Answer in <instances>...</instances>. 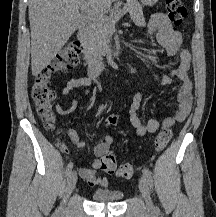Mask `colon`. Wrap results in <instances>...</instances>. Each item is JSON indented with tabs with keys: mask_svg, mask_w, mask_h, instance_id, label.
<instances>
[{
	"mask_svg": "<svg viewBox=\"0 0 216 217\" xmlns=\"http://www.w3.org/2000/svg\"><path fill=\"white\" fill-rule=\"evenodd\" d=\"M169 20L175 25H180L184 21L187 10L183 0H165ZM81 44L78 41L69 42L60 52L57 60L50 68L44 70L37 76L31 89V97L36 106L37 113L44 125L49 129L56 127V116L52 108L55 93L50 87V73L57 69H73L80 63ZM118 122L116 115H110L106 119V125L115 126ZM172 137L170 129L161 130L155 138V148L157 151L163 150ZM100 169L109 174H116L121 178H130L134 175L132 164H122L117 166L114 154L107 153L101 160Z\"/></svg>",
	"mask_w": 216,
	"mask_h": 217,
	"instance_id": "obj_1",
	"label": "colon"
}]
</instances>
